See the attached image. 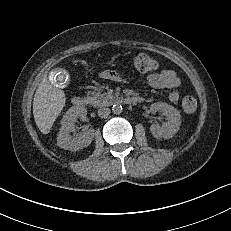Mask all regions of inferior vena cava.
<instances>
[{"instance_id": "inferior-vena-cava-1", "label": "inferior vena cava", "mask_w": 231, "mask_h": 231, "mask_svg": "<svg viewBox=\"0 0 231 231\" xmlns=\"http://www.w3.org/2000/svg\"><path fill=\"white\" fill-rule=\"evenodd\" d=\"M110 109L109 108H100L98 110V116L101 117V118H106L108 117V115L110 114Z\"/></svg>"}]
</instances>
